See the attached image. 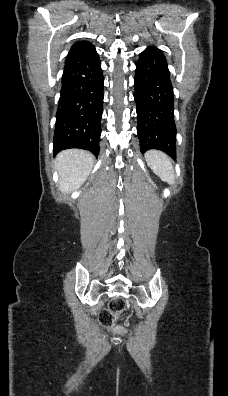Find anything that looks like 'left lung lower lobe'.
<instances>
[{
	"label": "left lung lower lobe",
	"mask_w": 228,
	"mask_h": 396,
	"mask_svg": "<svg viewBox=\"0 0 228 396\" xmlns=\"http://www.w3.org/2000/svg\"><path fill=\"white\" fill-rule=\"evenodd\" d=\"M134 88L141 152L158 149L175 159L174 94L166 58L161 50L148 47L140 54Z\"/></svg>",
	"instance_id": "left-lung-lower-lobe-1"
}]
</instances>
